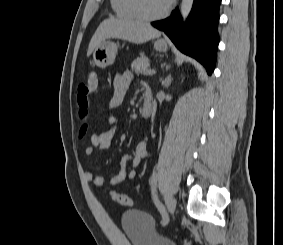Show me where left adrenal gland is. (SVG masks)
Wrapping results in <instances>:
<instances>
[{
	"label": "left adrenal gland",
	"mask_w": 283,
	"mask_h": 245,
	"mask_svg": "<svg viewBox=\"0 0 283 245\" xmlns=\"http://www.w3.org/2000/svg\"><path fill=\"white\" fill-rule=\"evenodd\" d=\"M172 80H173V79H172L171 75H169V76L164 80V82H163L164 87H165V88H168V87L170 86Z\"/></svg>",
	"instance_id": "left-adrenal-gland-1"
}]
</instances>
